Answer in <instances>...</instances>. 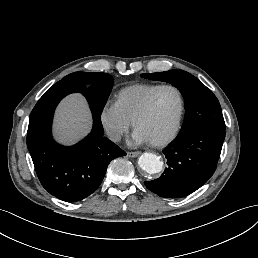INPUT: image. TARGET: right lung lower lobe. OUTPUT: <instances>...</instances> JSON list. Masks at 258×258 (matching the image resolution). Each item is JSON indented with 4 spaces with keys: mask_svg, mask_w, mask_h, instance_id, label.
Segmentation results:
<instances>
[{
    "mask_svg": "<svg viewBox=\"0 0 258 258\" xmlns=\"http://www.w3.org/2000/svg\"><path fill=\"white\" fill-rule=\"evenodd\" d=\"M97 84L62 79L37 102L29 117L27 147L42 186L55 197L80 201L101 184L108 164L126 153L104 137L99 115H93L91 133L74 146L64 147L54 141L51 125L56 106L71 93L83 94L91 108Z\"/></svg>",
    "mask_w": 258,
    "mask_h": 258,
    "instance_id": "obj_1",
    "label": "right lung lower lobe"
}]
</instances>
